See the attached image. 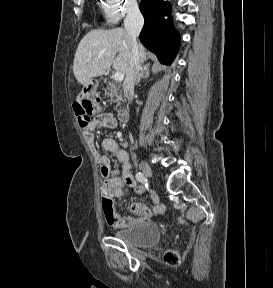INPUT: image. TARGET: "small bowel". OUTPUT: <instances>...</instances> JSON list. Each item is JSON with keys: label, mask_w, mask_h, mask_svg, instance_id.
I'll return each instance as SVG.
<instances>
[{"label": "small bowel", "mask_w": 273, "mask_h": 288, "mask_svg": "<svg viewBox=\"0 0 273 288\" xmlns=\"http://www.w3.org/2000/svg\"><path fill=\"white\" fill-rule=\"evenodd\" d=\"M117 121L110 113H102L95 116L87 127L83 129V136L88 146L93 149L94 157L100 165V173L103 178L101 185V204L106 221L115 228H126L143 222L152 216L164 213L165 206L159 203L155 193H151L153 207L149 208L143 203H133L131 210L135 216L121 217L114 208V200L123 196L124 185L134 188L140 192L142 188L136 184L130 173V162L127 152L119 147L113 138H105L101 147L105 152L110 153L122 164L121 174L117 170H112L108 156L99 154L94 148V131L99 128L114 129Z\"/></svg>", "instance_id": "small-bowel-1"}]
</instances>
